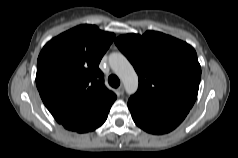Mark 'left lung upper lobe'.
I'll list each match as a JSON object with an SVG mask.
<instances>
[{
  "label": "left lung upper lobe",
  "mask_w": 238,
  "mask_h": 158,
  "mask_svg": "<svg viewBox=\"0 0 238 158\" xmlns=\"http://www.w3.org/2000/svg\"><path fill=\"white\" fill-rule=\"evenodd\" d=\"M115 44L139 77L138 91L129 100L149 110L192 108L201 79L192 46L155 31L122 35Z\"/></svg>",
  "instance_id": "obj_1"
}]
</instances>
